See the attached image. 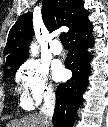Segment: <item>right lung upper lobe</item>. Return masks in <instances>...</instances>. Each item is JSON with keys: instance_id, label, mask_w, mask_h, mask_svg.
<instances>
[{"instance_id": "obj_1", "label": "right lung upper lobe", "mask_w": 108, "mask_h": 127, "mask_svg": "<svg viewBox=\"0 0 108 127\" xmlns=\"http://www.w3.org/2000/svg\"><path fill=\"white\" fill-rule=\"evenodd\" d=\"M42 18L50 31L67 26L68 37L85 25L88 11L81 0H44ZM33 37L32 14L26 13L18 18L11 28L5 47L6 65L24 62L28 56L29 43Z\"/></svg>"}]
</instances>
